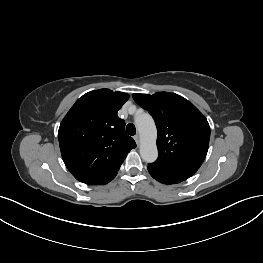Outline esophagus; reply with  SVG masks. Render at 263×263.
<instances>
[{
  "mask_svg": "<svg viewBox=\"0 0 263 263\" xmlns=\"http://www.w3.org/2000/svg\"><path fill=\"white\" fill-rule=\"evenodd\" d=\"M134 140H135V142H136L137 145L140 144V137H139V135H135V136H134Z\"/></svg>",
  "mask_w": 263,
  "mask_h": 263,
  "instance_id": "esophagus-1",
  "label": "esophagus"
}]
</instances>
